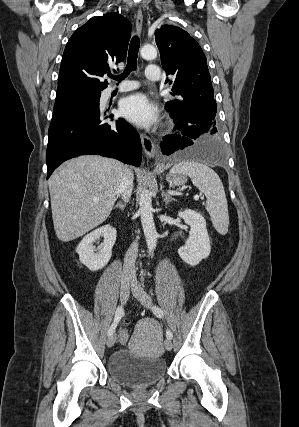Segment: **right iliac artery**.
Here are the masks:
<instances>
[{
    "label": "right iliac artery",
    "instance_id": "1",
    "mask_svg": "<svg viewBox=\"0 0 299 427\" xmlns=\"http://www.w3.org/2000/svg\"><path fill=\"white\" fill-rule=\"evenodd\" d=\"M124 316V309L122 307H118L115 313L114 321L110 328L108 329L107 335L110 336L115 331L117 324L121 320V318Z\"/></svg>",
    "mask_w": 299,
    "mask_h": 427
}]
</instances>
